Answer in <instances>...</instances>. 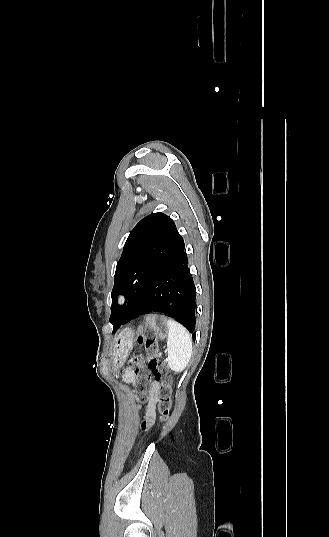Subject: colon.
Returning <instances> with one entry per match:
<instances>
[{
  "label": "colon",
  "instance_id": "colon-1",
  "mask_svg": "<svg viewBox=\"0 0 329 537\" xmlns=\"http://www.w3.org/2000/svg\"><path fill=\"white\" fill-rule=\"evenodd\" d=\"M147 350V367L135 368V390L137 394V401L143 403L146 400V393L149 389V379L154 377L160 383L157 394L158 410L160 412V419L167 418L171 407V375L166 368L165 364L159 359L158 346L153 340H146ZM142 361L140 355H134L129 360L130 364H139ZM146 426V424L144 425Z\"/></svg>",
  "mask_w": 329,
  "mask_h": 537
}]
</instances>
